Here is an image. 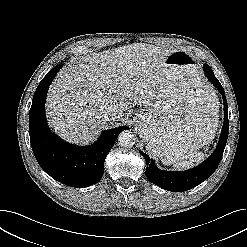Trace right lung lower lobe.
I'll return each instance as SVG.
<instances>
[{"label": "right lung lower lobe", "instance_id": "1", "mask_svg": "<svg viewBox=\"0 0 247 247\" xmlns=\"http://www.w3.org/2000/svg\"><path fill=\"white\" fill-rule=\"evenodd\" d=\"M61 67L52 68L36 89L29 112L30 142L37 162L47 174L65 185L82 188L101 180L106 156L119 133L129 127L104 131L89 147L72 145L52 133L44 106L50 83Z\"/></svg>", "mask_w": 247, "mask_h": 247}]
</instances>
